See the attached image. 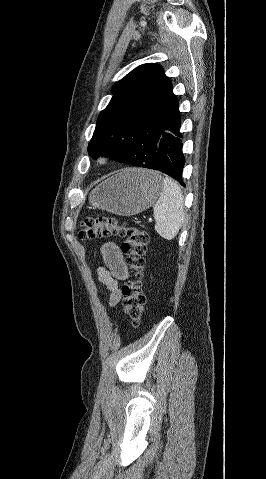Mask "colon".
Listing matches in <instances>:
<instances>
[{
    "mask_svg": "<svg viewBox=\"0 0 266 479\" xmlns=\"http://www.w3.org/2000/svg\"><path fill=\"white\" fill-rule=\"evenodd\" d=\"M111 236L125 237L121 244V250L126 255L131 276L121 288L123 308L130 322L133 325H138L146 304L142 280L148 234L141 227L121 224L115 218L110 217L87 218L82 221L78 233L80 240Z\"/></svg>",
    "mask_w": 266,
    "mask_h": 479,
    "instance_id": "1",
    "label": "colon"
}]
</instances>
